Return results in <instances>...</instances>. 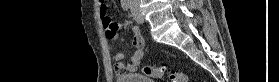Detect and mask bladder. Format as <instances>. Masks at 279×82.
Wrapping results in <instances>:
<instances>
[{"mask_svg": "<svg viewBox=\"0 0 279 82\" xmlns=\"http://www.w3.org/2000/svg\"><path fill=\"white\" fill-rule=\"evenodd\" d=\"M116 82H154L142 73H127L116 77Z\"/></svg>", "mask_w": 279, "mask_h": 82, "instance_id": "1", "label": "bladder"}]
</instances>
